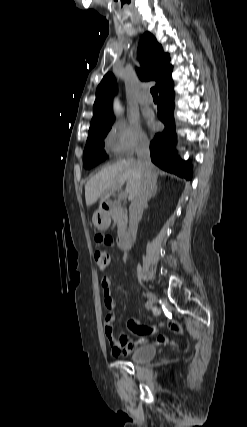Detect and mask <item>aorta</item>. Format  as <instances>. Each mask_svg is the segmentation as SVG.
<instances>
[{
  "instance_id": "aorta-1",
  "label": "aorta",
  "mask_w": 247,
  "mask_h": 427,
  "mask_svg": "<svg viewBox=\"0 0 247 427\" xmlns=\"http://www.w3.org/2000/svg\"><path fill=\"white\" fill-rule=\"evenodd\" d=\"M115 111H116V114H117V115H120V113H121V112H120L119 107H116V110H115Z\"/></svg>"
}]
</instances>
